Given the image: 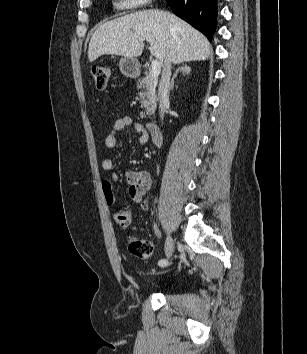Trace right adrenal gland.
<instances>
[{
	"label": "right adrenal gland",
	"instance_id": "1",
	"mask_svg": "<svg viewBox=\"0 0 307 354\" xmlns=\"http://www.w3.org/2000/svg\"><path fill=\"white\" fill-rule=\"evenodd\" d=\"M190 71H191V68H190L188 65H186V64L183 65V66H181V67H179V68L175 71V73H174V75H173V77H172V79H171L170 89L173 90V88H174V80H175V78L177 77V74H178L179 72H183V73H185V74H189Z\"/></svg>",
	"mask_w": 307,
	"mask_h": 354
}]
</instances>
